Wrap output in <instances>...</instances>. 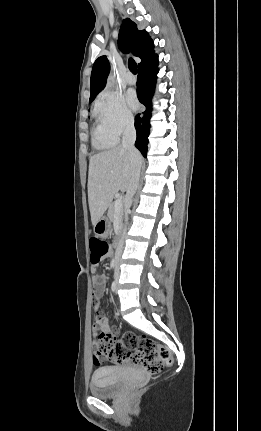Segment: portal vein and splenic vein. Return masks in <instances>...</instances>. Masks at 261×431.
Returning <instances> with one entry per match:
<instances>
[{
  "label": "portal vein and splenic vein",
  "mask_w": 261,
  "mask_h": 431,
  "mask_svg": "<svg viewBox=\"0 0 261 431\" xmlns=\"http://www.w3.org/2000/svg\"><path fill=\"white\" fill-rule=\"evenodd\" d=\"M114 208L116 211H119L122 208V199L119 198L115 201Z\"/></svg>",
  "instance_id": "obj_1"
}]
</instances>
